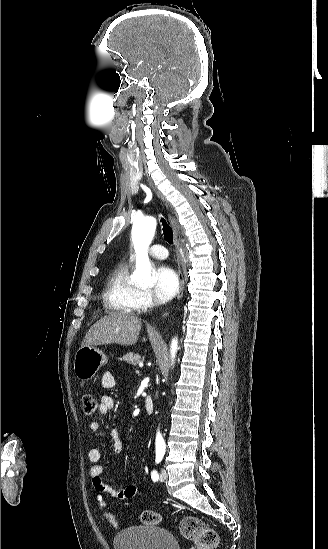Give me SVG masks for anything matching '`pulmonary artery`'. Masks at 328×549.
Here are the masks:
<instances>
[{
    "mask_svg": "<svg viewBox=\"0 0 328 549\" xmlns=\"http://www.w3.org/2000/svg\"><path fill=\"white\" fill-rule=\"evenodd\" d=\"M150 255L157 259H162L169 256L170 250L168 246H152Z\"/></svg>",
    "mask_w": 328,
    "mask_h": 549,
    "instance_id": "1",
    "label": "pulmonary artery"
}]
</instances>
